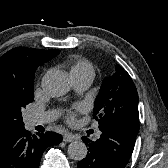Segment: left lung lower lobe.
Masks as SVG:
<instances>
[{
	"label": "left lung lower lobe",
	"mask_w": 168,
	"mask_h": 168,
	"mask_svg": "<svg viewBox=\"0 0 168 168\" xmlns=\"http://www.w3.org/2000/svg\"><path fill=\"white\" fill-rule=\"evenodd\" d=\"M101 137L91 142L82 137L89 147L85 159L78 162V168H125L134 149L137 134L118 127H104Z\"/></svg>",
	"instance_id": "left-lung-lower-lobe-1"
}]
</instances>
